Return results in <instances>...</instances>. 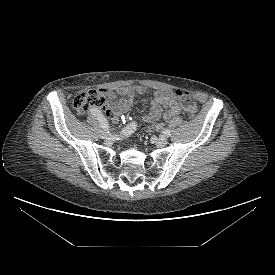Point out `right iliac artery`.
Wrapping results in <instances>:
<instances>
[{"mask_svg":"<svg viewBox=\"0 0 275 275\" xmlns=\"http://www.w3.org/2000/svg\"><path fill=\"white\" fill-rule=\"evenodd\" d=\"M90 113L92 115H94V117L97 118V120L99 121L100 123V126L105 130V131H108V133L110 132L109 131V124L107 122V120L105 119L104 115L97 109L95 108H91L90 109ZM136 123L135 122H132L130 124H128L126 127H124L121 132H120V135L121 136H129L131 135L135 130H136Z\"/></svg>","mask_w":275,"mask_h":275,"instance_id":"1","label":"right iliac artery"}]
</instances>
